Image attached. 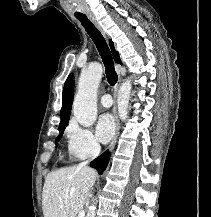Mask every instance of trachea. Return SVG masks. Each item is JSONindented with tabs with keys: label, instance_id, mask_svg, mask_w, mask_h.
Segmentation results:
<instances>
[{
	"label": "trachea",
	"instance_id": "1",
	"mask_svg": "<svg viewBox=\"0 0 211 217\" xmlns=\"http://www.w3.org/2000/svg\"><path fill=\"white\" fill-rule=\"evenodd\" d=\"M78 20L81 22L82 26L85 28L98 49V52L105 66L108 83L111 86H114L117 82L118 76L114 68L112 54L103 35L86 16L80 17Z\"/></svg>",
	"mask_w": 211,
	"mask_h": 217
}]
</instances>
